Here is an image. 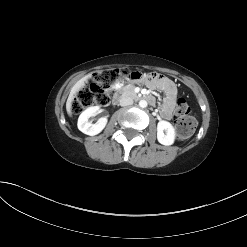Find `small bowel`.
I'll return each instance as SVG.
<instances>
[{
  "mask_svg": "<svg viewBox=\"0 0 247 247\" xmlns=\"http://www.w3.org/2000/svg\"><path fill=\"white\" fill-rule=\"evenodd\" d=\"M126 79L134 83L146 82L148 86L157 88L164 93V99L160 108V116L163 119H170L175 107L177 99V89L172 81L168 78L161 76L159 73L153 71H136L128 70L126 72ZM122 86V83H117L114 88L118 89Z\"/></svg>",
  "mask_w": 247,
  "mask_h": 247,
  "instance_id": "small-bowel-1",
  "label": "small bowel"
}]
</instances>
